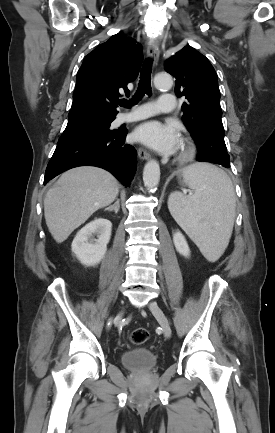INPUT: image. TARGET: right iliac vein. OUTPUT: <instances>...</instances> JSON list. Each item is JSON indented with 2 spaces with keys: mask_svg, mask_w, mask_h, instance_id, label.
Instances as JSON below:
<instances>
[{
  "mask_svg": "<svg viewBox=\"0 0 275 433\" xmlns=\"http://www.w3.org/2000/svg\"><path fill=\"white\" fill-rule=\"evenodd\" d=\"M122 316H123V312L121 311V312L117 315V317H116V321H117V322H120V320L122 319Z\"/></svg>",
  "mask_w": 275,
  "mask_h": 433,
  "instance_id": "right-iliac-vein-1",
  "label": "right iliac vein"
}]
</instances>
